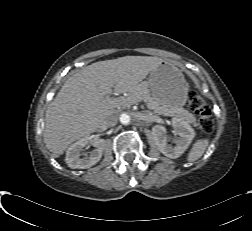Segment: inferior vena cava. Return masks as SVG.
I'll return each mask as SVG.
<instances>
[{
	"mask_svg": "<svg viewBox=\"0 0 252 231\" xmlns=\"http://www.w3.org/2000/svg\"><path fill=\"white\" fill-rule=\"evenodd\" d=\"M118 122V116L117 114H111L109 116H107L103 122V126L104 127H111V126H114L116 125Z\"/></svg>",
	"mask_w": 252,
	"mask_h": 231,
	"instance_id": "602c4592",
	"label": "inferior vena cava"
}]
</instances>
